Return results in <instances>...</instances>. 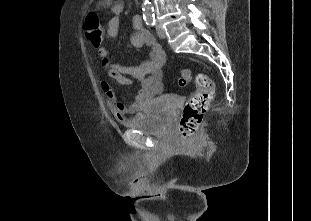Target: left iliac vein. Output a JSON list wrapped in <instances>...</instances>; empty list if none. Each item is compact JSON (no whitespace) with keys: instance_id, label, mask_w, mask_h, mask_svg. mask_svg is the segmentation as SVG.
Masks as SVG:
<instances>
[{"instance_id":"obj_1","label":"left iliac vein","mask_w":311,"mask_h":221,"mask_svg":"<svg viewBox=\"0 0 311 221\" xmlns=\"http://www.w3.org/2000/svg\"><path fill=\"white\" fill-rule=\"evenodd\" d=\"M156 31H157V35H158L159 38H161V39H165L166 38L165 30L158 24L156 25Z\"/></svg>"}]
</instances>
